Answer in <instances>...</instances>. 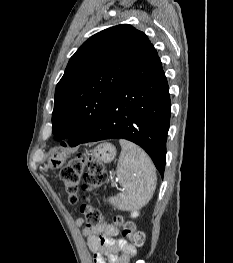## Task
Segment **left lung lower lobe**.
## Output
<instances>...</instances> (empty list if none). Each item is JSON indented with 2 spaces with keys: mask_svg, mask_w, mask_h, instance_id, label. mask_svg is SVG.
Masks as SVG:
<instances>
[{
  "mask_svg": "<svg viewBox=\"0 0 233 263\" xmlns=\"http://www.w3.org/2000/svg\"><path fill=\"white\" fill-rule=\"evenodd\" d=\"M170 95L160 58L153 45L132 70L101 117L80 143L122 138L141 146L161 175L165 169L170 125ZM61 145L66 146L64 142Z\"/></svg>",
  "mask_w": 233,
  "mask_h": 263,
  "instance_id": "0a47b994",
  "label": "left lung lower lobe"
}]
</instances>
